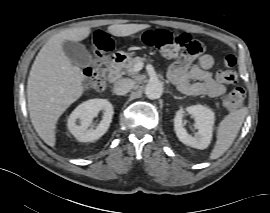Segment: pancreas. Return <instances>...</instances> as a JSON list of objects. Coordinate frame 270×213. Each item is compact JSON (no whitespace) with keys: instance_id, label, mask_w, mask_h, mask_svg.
I'll return each instance as SVG.
<instances>
[{"instance_id":"1","label":"pancreas","mask_w":270,"mask_h":213,"mask_svg":"<svg viewBox=\"0 0 270 213\" xmlns=\"http://www.w3.org/2000/svg\"><path fill=\"white\" fill-rule=\"evenodd\" d=\"M148 60L149 59L146 57H134L127 60L125 63H123L120 69L123 70L124 72H127L130 75H133L137 73V71L134 70L135 64L139 62L144 63V62H147Z\"/></svg>"}]
</instances>
